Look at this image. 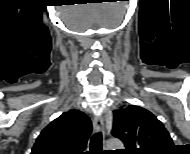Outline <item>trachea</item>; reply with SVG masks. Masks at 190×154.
<instances>
[{
    "mask_svg": "<svg viewBox=\"0 0 190 154\" xmlns=\"http://www.w3.org/2000/svg\"><path fill=\"white\" fill-rule=\"evenodd\" d=\"M102 151V134L95 133L90 141V154H101Z\"/></svg>",
    "mask_w": 190,
    "mask_h": 154,
    "instance_id": "obj_1",
    "label": "trachea"
}]
</instances>
